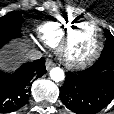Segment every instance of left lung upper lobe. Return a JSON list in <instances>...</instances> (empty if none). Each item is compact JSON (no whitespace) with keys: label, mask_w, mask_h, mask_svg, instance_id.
Returning a JSON list of instances; mask_svg holds the SVG:
<instances>
[{"label":"left lung upper lobe","mask_w":114,"mask_h":114,"mask_svg":"<svg viewBox=\"0 0 114 114\" xmlns=\"http://www.w3.org/2000/svg\"><path fill=\"white\" fill-rule=\"evenodd\" d=\"M105 35H106L105 47L103 48L101 55L114 56V37L108 30H105Z\"/></svg>","instance_id":"left-lung-upper-lobe-1"}]
</instances>
